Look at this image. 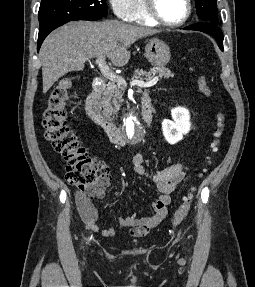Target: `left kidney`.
I'll use <instances>...</instances> for the list:
<instances>
[{
    "mask_svg": "<svg viewBox=\"0 0 255 287\" xmlns=\"http://www.w3.org/2000/svg\"><path fill=\"white\" fill-rule=\"evenodd\" d=\"M171 116L172 120H163L162 132L169 144H177L191 128L190 114L186 108H173Z\"/></svg>",
    "mask_w": 255,
    "mask_h": 287,
    "instance_id": "left-kidney-1",
    "label": "left kidney"
}]
</instances>
